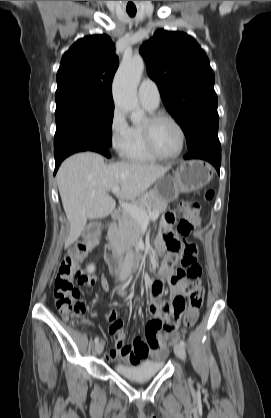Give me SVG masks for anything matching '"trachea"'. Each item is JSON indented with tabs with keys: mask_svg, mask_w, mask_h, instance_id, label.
Returning a JSON list of instances; mask_svg holds the SVG:
<instances>
[{
	"mask_svg": "<svg viewBox=\"0 0 271 418\" xmlns=\"http://www.w3.org/2000/svg\"><path fill=\"white\" fill-rule=\"evenodd\" d=\"M127 13L131 16V17H133V16H135V14H136V9H127Z\"/></svg>",
	"mask_w": 271,
	"mask_h": 418,
	"instance_id": "obj_1",
	"label": "trachea"
}]
</instances>
